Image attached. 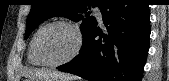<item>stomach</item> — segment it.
Returning <instances> with one entry per match:
<instances>
[{"label": "stomach", "instance_id": "stomach-1", "mask_svg": "<svg viewBox=\"0 0 169 81\" xmlns=\"http://www.w3.org/2000/svg\"><path fill=\"white\" fill-rule=\"evenodd\" d=\"M31 81V80H28ZM38 81H73V80H38Z\"/></svg>", "mask_w": 169, "mask_h": 81}]
</instances>
